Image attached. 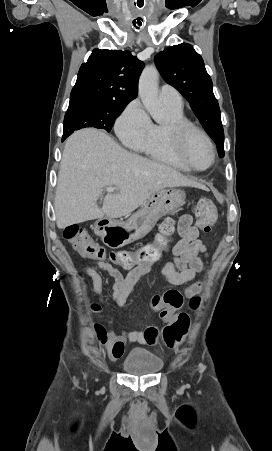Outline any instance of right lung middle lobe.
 Listing matches in <instances>:
<instances>
[{
  "label": "right lung middle lobe",
  "instance_id": "1",
  "mask_svg": "<svg viewBox=\"0 0 272 451\" xmlns=\"http://www.w3.org/2000/svg\"><path fill=\"white\" fill-rule=\"evenodd\" d=\"M128 103L83 100L69 103L63 125V138L85 127L105 129L110 132L115 119Z\"/></svg>",
  "mask_w": 272,
  "mask_h": 451
}]
</instances>
